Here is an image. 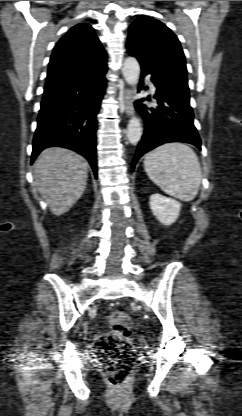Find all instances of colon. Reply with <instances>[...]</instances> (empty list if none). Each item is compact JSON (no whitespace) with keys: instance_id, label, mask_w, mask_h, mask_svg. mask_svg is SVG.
Returning <instances> with one entry per match:
<instances>
[{"instance_id":"obj_1","label":"colon","mask_w":242,"mask_h":416,"mask_svg":"<svg viewBox=\"0 0 242 416\" xmlns=\"http://www.w3.org/2000/svg\"><path fill=\"white\" fill-rule=\"evenodd\" d=\"M109 331L99 335L95 349L111 384L123 383L135 365V353L129 341L132 322L123 310H112L108 316Z\"/></svg>"}]
</instances>
